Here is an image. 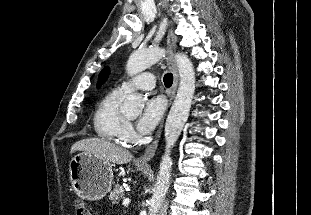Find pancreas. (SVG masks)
I'll return each mask as SVG.
<instances>
[{"instance_id":"cf45deb5","label":"pancreas","mask_w":311,"mask_h":215,"mask_svg":"<svg viewBox=\"0 0 311 215\" xmlns=\"http://www.w3.org/2000/svg\"><path fill=\"white\" fill-rule=\"evenodd\" d=\"M124 196V191L120 185L115 186V188L110 192L109 199L116 204Z\"/></svg>"}]
</instances>
